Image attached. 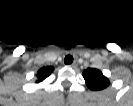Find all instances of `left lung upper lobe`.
Instances as JSON below:
<instances>
[{
  "label": "left lung upper lobe",
  "mask_w": 133,
  "mask_h": 106,
  "mask_svg": "<svg viewBox=\"0 0 133 106\" xmlns=\"http://www.w3.org/2000/svg\"><path fill=\"white\" fill-rule=\"evenodd\" d=\"M83 77L86 85L91 90H102L109 86V80L102 74L101 71L93 68H88L83 71Z\"/></svg>",
  "instance_id": "left-lung-upper-lobe-1"
}]
</instances>
